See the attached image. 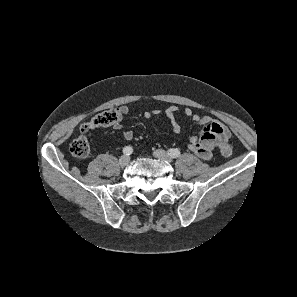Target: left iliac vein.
Segmentation results:
<instances>
[{
	"instance_id": "4c4485c4",
	"label": "left iliac vein",
	"mask_w": 297,
	"mask_h": 297,
	"mask_svg": "<svg viewBox=\"0 0 297 297\" xmlns=\"http://www.w3.org/2000/svg\"><path fill=\"white\" fill-rule=\"evenodd\" d=\"M153 155L156 158L162 159L167 162H172V157L164 150H156L154 151Z\"/></svg>"
}]
</instances>
